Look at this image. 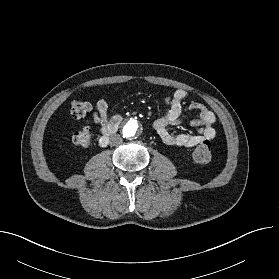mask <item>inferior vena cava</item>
Instances as JSON below:
<instances>
[{
	"mask_svg": "<svg viewBox=\"0 0 279 279\" xmlns=\"http://www.w3.org/2000/svg\"><path fill=\"white\" fill-rule=\"evenodd\" d=\"M123 142V138L120 135H114L110 138V144L113 146H118Z\"/></svg>",
	"mask_w": 279,
	"mask_h": 279,
	"instance_id": "1",
	"label": "inferior vena cava"
}]
</instances>
